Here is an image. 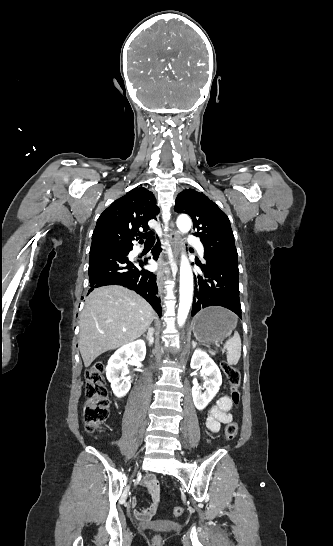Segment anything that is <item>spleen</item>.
<instances>
[{"label":"spleen","instance_id":"3e777b00","mask_svg":"<svg viewBox=\"0 0 333 546\" xmlns=\"http://www.w3.org/2000/svg\"><path fill=\"white\" fill-rule=\"evenodd\" d=\"M234 317L237 322V316L234 315ZM224 348L227 351V363L236 365L241 356V339L238 332H235L233 337L226 341Z\"/></svg>","mask_w":333,"mask_h":546}]
</instances>
